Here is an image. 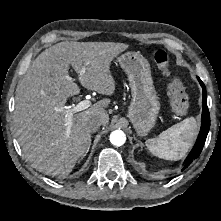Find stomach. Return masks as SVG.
Here are the masks:
<instances>
[{"instance_id": "stomach-1", "label": "stomach", "mask_w": 221, "mask_h": 221, "mask_svg": "<svg viewBox=\"0 0 221 221\" xmlns=\"http://www.w3.org/2000/svg\"><path fill=\"white\" fill-rule=\"evenodd\" d=\"M118 62L128 75L132 93L128 117L137 134L145 136L154 127L160 110L150 64L139 52H126Z\"/></svg>"}]
</instances>
